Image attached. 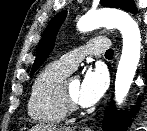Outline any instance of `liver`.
<instances>
[{"label":"liver","mask_w":147,"mask_h":131,"mask_svg":"<svg viewBox=\"0 0 147 131\" xmlns=\"http://www.w3.org/2000/svg\"><path fill=\"white\" fill-rule=\"evenodd\" d=\"M30 131H72L70 127H59L50 124H36Z\"/></svg>","instance_id":"1"}]
</instances>
